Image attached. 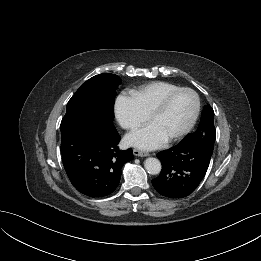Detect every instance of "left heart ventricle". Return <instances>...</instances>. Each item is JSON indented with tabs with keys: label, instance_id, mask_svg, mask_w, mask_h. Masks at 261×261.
<instances>
[{
	"label": "left heart ventricle",
	"instance_id": "obj_1",
	"mask_svg": "<svg viewBox=\"0 0 261 261\" xmlns=\"http://www.w3.org/2000/svg\"><path fill=\"white\" fill-rule=\"evenodd\" d=\"M195 99L190 93L177 95L167 109L155 116L151 123L157 125L167 138L183 130L191 119Z\"/></svg>",
	"mask_w": 261,
	"mask_h": 261
}]
</instances>
